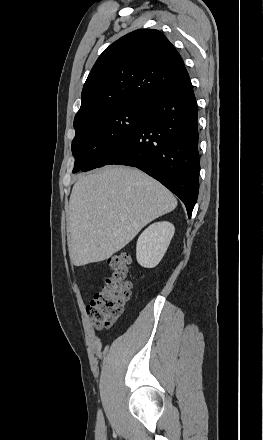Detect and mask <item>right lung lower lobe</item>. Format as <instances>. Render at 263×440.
<instances>
[{
  "mask_svg": "<svg viewBox=\"0 0 263 440\" xmlns=\"http://www.w3.org/2000/svg\"><path fill=\"white\" fill-rule=\"evenodd\" d=\"M198 111L188 77L147 101V114L106 165L137 167L160 181L186 206L189 218L199 191Z\"/></svg>",
  "mask_w": 263,
  "mask_h": 440,
  "instance_id": "obj_1",
  "label": "right lung lower lobe"
}]
</instances>
